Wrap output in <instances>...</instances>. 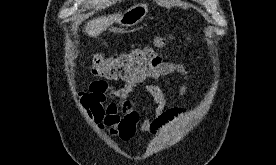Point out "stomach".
<instances>
[{
  "label": "stomach",
  "instance_id": "0dacf381",
  "mask_svg": "<svg viewBox=\"0 0 276 165\" xmlns=\"http://www.w3.org/2000/svg\"><path fill=\"white\" fill-rule=\"evenodd\" d=\"M148 12V7L146 4H136L130 9H128L125 13L121 15V17L117 20V23L121 27H132L140 23Z\"/></svg>",
  "mask_w": 276,
  "mask_h": 165
}]
</instances>
